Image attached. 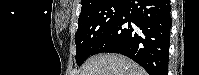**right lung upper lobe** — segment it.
Masks as SVG:
<instances>
[{"mask_svg":"<svg viewBox=\"0 0 199 75\" xmlns=\"http://www.w3.org/2000/svg\"><path fill=\"white\" fill-rule=\"evenodd\" d=\"M101 1H103V0H82V8H81V10L87 9L89 7H92V6L98 4Z\"/></svg>","mask_w":199,"mask_h":75,"instance_id":"1","label":"right lung upper lobe"}]
</instances>
